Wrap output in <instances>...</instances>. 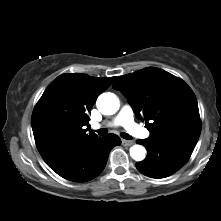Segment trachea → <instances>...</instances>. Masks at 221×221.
I'll list each match as a JSON object with an SVG mask.
<instances>
[{"mask_svg": "<svg viewBox=\"0 0 221 221\" xmlns=\"http://www.w3.org/2000/svg\"><path fill=\"white\" fill-rule=\"evenodd\" d=\"M97 132L99 135L103 136V135H106L108 131L107 129H99ZM121 137L127 140L132 139V137L129 134L124 133V132L121 133Z\"/></svg>", "mask_w": 221, "mask_h": 221, "instance_id": "obj_1", "label": "trachea"}]
</instances>
